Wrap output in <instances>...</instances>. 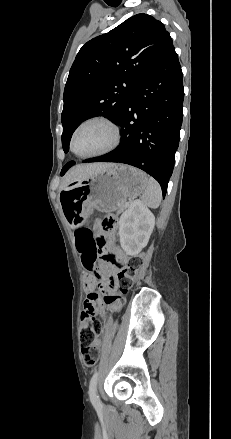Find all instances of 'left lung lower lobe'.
Masks as SVG:
<instances>
[{
  "label": "left lung lower lobe",
  "mask_w": 231,
  "mask_h": 439,
  "mask_svg": "<svg viewBox=\"0 0 231 439\" xmlns=\"http://www.w3.org/2000/svg\"><path fill=\"white\" fill-rule=\"evenodd\" d=\"M182 70L174 46L132 90L116 123L121 144L112 152L83 162H119L150 174L163 197L174 167L183 117ZM75 162H71L70 168Z\"/></svg>",
  "instance_id": "obj_1"
}]
</instances>
